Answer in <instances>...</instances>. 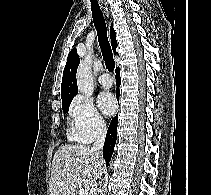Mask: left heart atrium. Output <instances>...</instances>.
<instances>
[{"label": "left heart atrium", "instance_id": "left-heart-atrium-1", "mask_svg": "<svg viewBox=\"0 0 211 195\" xmlns=\"http://www.w3.org/2000/svg\"><path fill=\"white\" fill-rule=\"evenodd\" d=\"M98 105L102 112L108 116L114 114L117 103L114 96L110 93H102L98 97Z\"/></svg>", "mask_w": 211, "mask_h": 195}]
</instances>
